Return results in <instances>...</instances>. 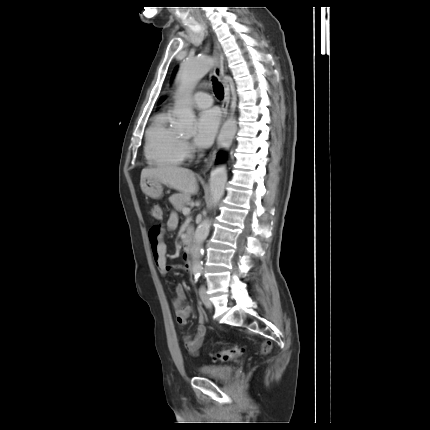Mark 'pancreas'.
<instances>
[{"instance_id": "obj_1", "label": "pancreas", "mask_w": 430, "mask_h": 430, "mask_svg": "<svg viewBox=\"0 0 430 430\" xmlns=\"http://www.w3.org/2000/svg\"><path fill=\"white\" fill-rule=\"evenodd\" d=\"M169 201L171 202V204L174 206V208L177 211H182L183 208L185 207V205L187 203H189V201H190V195H187V194H184V193L173 194L169 198Z\"/></svg>"}]
</instances>
